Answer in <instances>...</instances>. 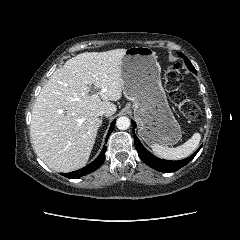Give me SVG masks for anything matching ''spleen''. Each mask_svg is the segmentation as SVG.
Segmentation results:
<instances>
[{
	"instance_id": "spleen-1",
	"label": "spleen",
	"mask_w": 240,
	"mask_h": 240,
	"mask_svg": "<svg viewBox=\"0 0 240 240\" xmlns=\"http://www.w3.org/2000/svg\"><path fill=\"white\" fill-rule=\"evenodd\" d=\"M201 140L200 133H194L193 136L184 144L171 148L159 144H152L150 147L154 154L160 158L168 160H180L191 155L198 147Z\"/></svg>"
}]
</instances>
